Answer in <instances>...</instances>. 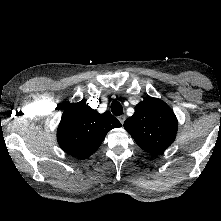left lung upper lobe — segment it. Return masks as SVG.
<instances>
[{
    "label": "left lung upper lobe",
    "mask_w": 221,
    "mask_h": 221,
    "mask_svg": "<svg viewBox=\"0 0 221 221\" xmlns=\"http://www.w3.org/2000/svg\"><path fill=\"white\" fill-rule=\"evenodd\" d=\"M124 128L137 145L152 154H161L174 141L177 118L172 109L158 98H146L136 105Z\"/></svg>",
    "instance_id": "5c2ea615"
}]
</instances>
